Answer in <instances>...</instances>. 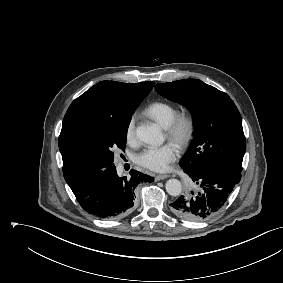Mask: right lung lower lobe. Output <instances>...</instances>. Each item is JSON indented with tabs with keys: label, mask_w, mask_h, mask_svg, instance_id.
Wrapping results in <instances>:
<instances>
[{
	"label": "right lung lower lobe",
	"mask_w": 283,
	"mask_h": 283,
	"mask_svg": "<svg viewBox=\"0 0 283 283\" xmlns=\"http://www.w3.org/2000/svg\"><path fill=\"white\" fill-rule=\"evenodd\" d=\"M143 181L153 182L154 179L133 169L128 178L119 177L113 165L83 177L70 188L85 211L111 219L131 211L135 188Z\"/></svg>",
	"instance_id": "1"
}]
</instances>
